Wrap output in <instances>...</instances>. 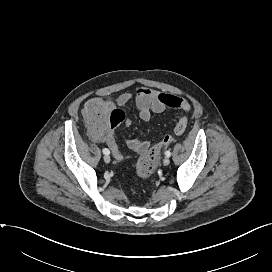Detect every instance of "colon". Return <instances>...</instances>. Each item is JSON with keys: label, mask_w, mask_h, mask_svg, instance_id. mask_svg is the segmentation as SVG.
<instances>
[{"label": "colon", "mask_w": 272, "mask_h": 272, "mask_svg": "<svg viewBox=\"0 0 272 272\" xmlns=\"http://www.w3.org/2000/svg\"><path fill=\"white\" fill-rule=\"evenodd\" d=\"M83 116L93 136L104 135L110 128L121 124L125 118L122 110L112 108L110 103L101 98H94L86 102ZM187 123L188 121L184 122L182 128ZM174 141V136L166 135L160 142L144 152L137 163L138 176L149 177L153 173L162 151Z\"/></svg>", "instance_id": "1"}]
</instances>
